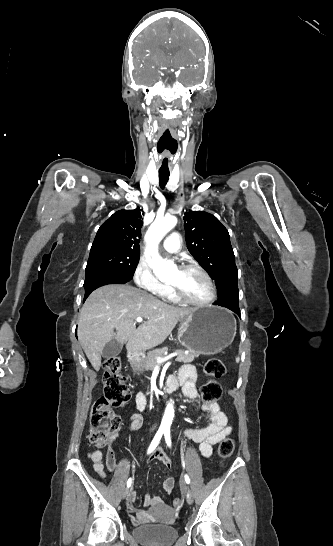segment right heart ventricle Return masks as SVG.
Here are the masks:
<instances>
[{
	"label": "right heart ventricle",
	"instance_id": "e07e8e85",
	"mask_svg": "<svg viewBox=\"0 0 333 546\" xmlns=\"http://www.w3.org/2000/svg\"><path fill=\"white\" fill-rule=\"evenodd\" d=\"M164 297L167 298V299L170 300V301H177V299H176L175 296L173 295L172 290H171L170 288H169L168 291L165 293Z\"/></svg>",
	"mask_w": 333,
	"mask_h": 546
}]
</instances>
